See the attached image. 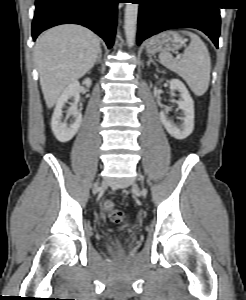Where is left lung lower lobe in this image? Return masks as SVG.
<instances>
[{
  "mask_svg": "<svg viewBox=\"0 0 246 300\" xmlns=\"http://www.w3.org/2000/svg\"><path fill=\"white\" fill-rule=\"evenodd\" d=\"M140 4L137 43L161 31L191 27L204 32L218 48L220 12L216 0H135Z\"/></svg>",
  "mask_w": 246,
  "mask_h": 300,
  "instance_id": "1",
  "label": "left lung lower lobe"
}]
</instances>
